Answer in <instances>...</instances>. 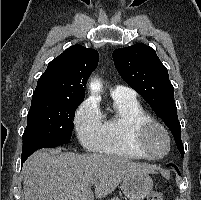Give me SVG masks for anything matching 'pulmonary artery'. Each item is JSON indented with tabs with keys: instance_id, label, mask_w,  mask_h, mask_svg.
Returning a JSON list of instances; mask_svg holds the SVG:
<instances>
[{
	"instance_id": "1",
	"label": "pulmonary artery",
	"mask_w": 201,
	"mask_h": 200,
	"mask_svg": "<svg viewBox=\"0 0 201 200\" xmlns=\"http://www.w3.org/2000/svg\"><path fill=\"white\" fill-rule=\"evenodd\" d=\"M111 94L114 96H128L135 97V92L128 87L118 85L112 91Z\"/></svg>"
}]
</instances>
